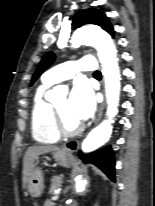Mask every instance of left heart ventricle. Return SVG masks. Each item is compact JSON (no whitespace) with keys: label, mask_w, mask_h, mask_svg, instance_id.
Wrapping results in <instances>:
<instances>
[{"label":"left heart ventricle","mask_w":155,"mask_h":206,"mask_svg":"<svg viewBox=\"0 0 155 206\" xmlns=\"http://www.w3.org/2000/svg\"><path fill=\"white\" fill-rule=\"evenodd\" d=\"M54 105L56 106V108L58 109L59 113L61 114L65 123L68 126H75V125L79 124V121L74 119L71 116V114L69 113L68 99L67 98L64 97V98L57 100Z\"/></svg>","instance_id":"obj_1"}]
</instances>
